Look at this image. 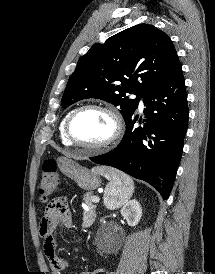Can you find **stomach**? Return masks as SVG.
Masks as SVG:
<instances>
[{"instance_id": "obj_1", "label": "stomach", "mask_w": 215, "mask_h": 274, "mask_svg": "<svg viewBox=\"0 0 215 274\" xmlns=\"http://www.w3.org/2000/svg\"><path fill=\"white\" fill-rule=\"evenodd\" d=\"M57 163L61 172L74 180L81 189L92 191L100 187L101 178L96 171H90L66 157L58 158Z\"/></svg>"}]
</instances>
